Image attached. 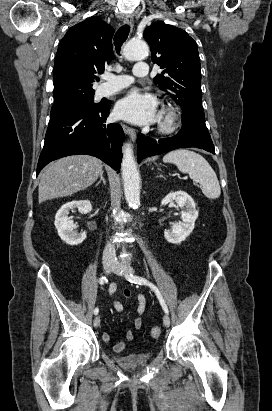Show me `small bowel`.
<instances>
[{"label": "small bowel", "mask_w": 272, "mask_h": 411, "mask_svg": "<svg viewBox=\"0 0 272 411\" xmlns=\"http://www.w3.org/2000/svg\"><path fill=\"white\" fill-rule=\"evenodd\" d=\"M109 291H110V294H111V295H114L115 292H116V286L113 284V285L110 287V290H109ZM123 295H124L126 298L131 299V300H134V301L136 302L137 307H136V317H135V319H134V328H135V330H139V329H141V327H142V315H143V313H144V311H145V296H144L142 293L134 294V293H133L131 290H129V289H125V290L123 291ZM113 306H114V308H115V310H116L117 312H119V313L124 312V306H123V304H122L120 301H118L117 299H113ZM134 336H135L134 331H133V330H128V331L125 333L123 339L114 346V348H113L114 351H115L116 353L122 352V351L124 350L126 344H127L129 341H131V340L134 338ZM103 340H104L105 342L110 341V335L105 334V335L103 336Z\"/></svg>", "instance_id": "obj_1"}]
</instances>
